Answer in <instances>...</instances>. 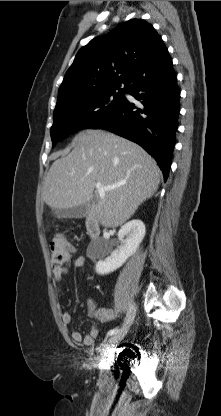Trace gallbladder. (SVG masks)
I'll list each match as a JSON object with an SVG mask.
<instances>
[{
  "instance_id": "gallbladder-1",
  "label": "gallbladder",
  "mask_w": 221,
  "mask_h": 416,
  "mask_svg": "<svg viewBox=\"0 0 221 416\" xmlns=\"http://www.w3.org/2000/svg\"><path fill=\"white\" fill-rule=\"evenodd\" d=\"M94 200L95 198H93L90 202L71 208L57 209L54 214L57 218H82L88 213Z\"/></svg>"
}]
</instances>
